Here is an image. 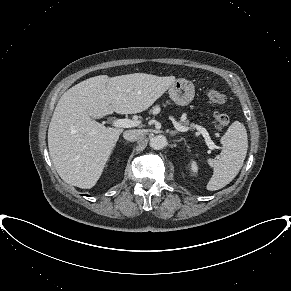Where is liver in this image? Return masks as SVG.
Wrapping results in <instances>:
<instances>
[{
	"instance_id": "obj_1",
	"label": "liver",
	"mask_w": 291,
	"mask_h": 291,
	"mask_svg": "<svg viewBox=\"0 0 291 291\" xmlns=\"http://www.w3.org/2000/svg\"><path fill=\"white\" fill-rule=\"evenodd\" d=\"M174 76L134 73L99 75L67 90L59 99L48 129L52 163L64 182L90 189L99 180L123 132L95 119L116 112L147 110L175 82Z\"/></svg>"
}]
</instances>
